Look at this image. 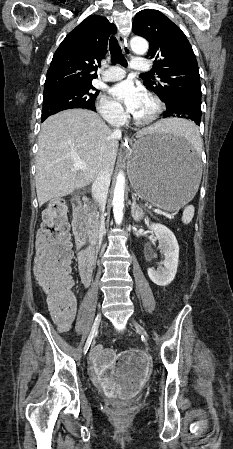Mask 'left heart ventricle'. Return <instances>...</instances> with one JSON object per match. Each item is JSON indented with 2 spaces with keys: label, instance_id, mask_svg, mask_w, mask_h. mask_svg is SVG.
Returning a JSON list of instances; mask_svg holds the SVG:
<instances>
[{
  "label": "left heart ventricle",
  "instance_id": "b2bd125f",
  "mask_svg": "<svg viewBox=\"0 0 233 449\" xmlns=\"http://www.w3.org/2000/svg\"><path fill=\"white\" fill-rule=\"evenodd\" d=\"M153 110H154L153 103L148 98H146L136 116L139 118H146L152 114Z\"/></svg>",
  "mask_w": 233,
  "mask_h": 449
}]
</instances>
